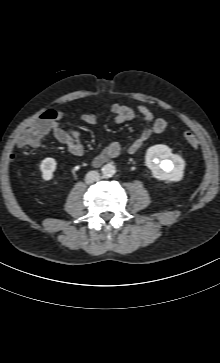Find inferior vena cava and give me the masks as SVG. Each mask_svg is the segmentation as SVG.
Wrapping results in <instances>:
<instances>
[{
	"mask_svg": "<svg viewBox=\"0 0 220 363\" xmlns=\"http://www.w3.org/2000/svg\"><path fill=\"white\" fill-rule=\"evenodd\" d=\"M100 175L97 171H89L85 176V182L87 184H92L99 179Z\"/></svg>",
	"mask_w": 220,
	"mask_h": 363,
	"instance_id": "602c4592",
	"label": "inferior vena cava"
}]
</instances>
